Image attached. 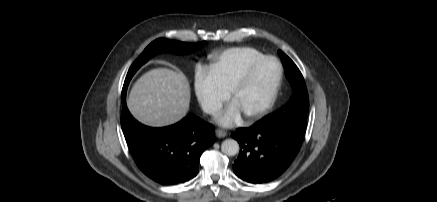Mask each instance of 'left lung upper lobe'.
<instances>
[{
  "label": "left lung upper lobe",
  "mask_w": 437,
  "mask_h": 202,
  "mask_svg": "<svg viewBox=\"0 0 437 202\" xmlns=\"http://www.w3.org/2000/svg\"><path fill=\"white\" fill-rule=\"evenodd\" d=\"M278 54L283 63L285 75L290 82V85L293 88L294 92L291 100L281 110L276 113L267 115L266 117L286 112H295L303 117H307L309 109V98L303 76L298 67L288 56H286L281 50L278 51Z\"/></svg>",
  "instance_id": "left-lung-upper-lobe-1"
}]
</instances>
